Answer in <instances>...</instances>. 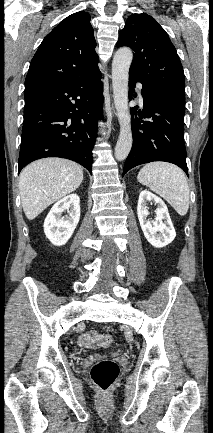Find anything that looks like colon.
I'll list each match as a JSON object with an SVG mask.
<instances>
[{
    "instance_id": "obj_1",
    "label": "colon",
    "mask_w": 213,
    "mask_h": 433,
    "mask_svg": "<svg viewBox=\"0 0 213 433\" xmlns=\"http://www.w3.org/2000/svg\"><path fill=\"white\" fill-rule=\"evenodd\" d=\"M102 340L105 345H112L114 343V337L111 334L103 335ZM118 374L119 367L117 363L110 359L98 361L92 366L90 371L92 381L102 391H106L114 383Z\"/></svg>"
}]
</instances>
